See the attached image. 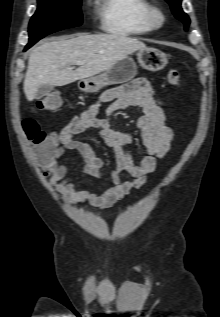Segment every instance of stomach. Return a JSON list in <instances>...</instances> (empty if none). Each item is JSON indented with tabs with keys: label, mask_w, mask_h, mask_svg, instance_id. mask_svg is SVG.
I'll return each instance as SVG.
<instances>
[{
	"label": "stomach",
	"mask_w": 220,
	"mask_h": 317,
	"mask_svg": "<svg viewBox=\"0 0 220 317\" xmlns=\"http://www.w3.org/2000/svg\"><path fill=\"white\" fill-rule=\"evenodd\" d=\"M137 62L149 71H159L163 69L168 59L165 53L155 48H144L137 52ZM137 74L135 61L126 56L119 60L113 67L103 73L82 79L78 82V87L86 93H94L107 85L121 84L130 81Z\"/></svg>",
	"instance_id": "obj_1"
}]
</instances>
